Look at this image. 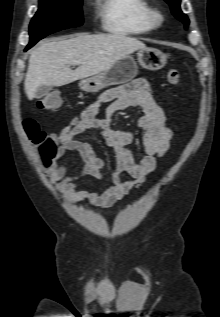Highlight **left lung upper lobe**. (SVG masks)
Here are the masks:
<instances>
[{"label": "left lung upper lobe", "instance_id": "5c2ea615", "mask_svg": "<svg viewBox=\"0 0 220 317\" xmlns=\"http://www.w3.org/2000/svg\"><path fill=\"white\" fill-rule=\"evenodd\" d=\"M170 6L172 13L175 15L177 19L182 21L185 26L187 27L189 24V19L188 17L182 13L180 9V0H165Z\"/></svg>", "mask_w": 220, "mask_h": 317}]
</instances>
